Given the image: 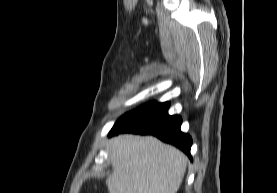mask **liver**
<instances>
[{
  "mask_svg": "<svg viewBox=\"0 0 277 193\" xmlns=\"http://www.w3.org/2000/svg\"><path fill=\"white\" fill-rule=\"evenodd\" d=\"M109 160V193H176L187 166V157L177 148L132 134L110 140Z\"/></svg>",
  "mask_w": 277,
  "mask_h": 193,
  "instance_id": "1",
  "label": "liver"
}]
</instances>
